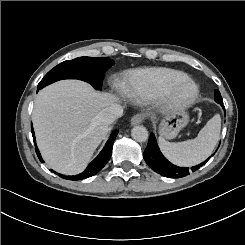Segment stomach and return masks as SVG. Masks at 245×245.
<instances>
[{"mask_svg":"<svg viewBox=\"0 0 245 245\" xmlns=\"http://www.w3.org/2000/svg\"><path fill=\"white\" fill-rule=\"evenodd\" d=\"M154 117H151L153 120ZM190 123V115L186 110L171 111L165 114L158 123V133L161 137L174 139Z\"/></svg>","mask_w":245,"mask_h":245,"instance_id":"obj_1","label":"stomach"}]
</instances>
